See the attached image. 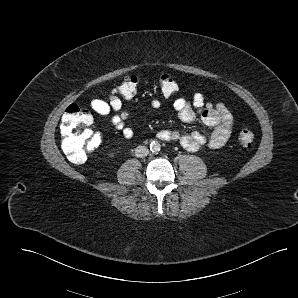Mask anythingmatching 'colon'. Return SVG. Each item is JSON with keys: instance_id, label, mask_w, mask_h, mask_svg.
I'll return each instance as SVG.
<instances>
[{"instance_id": "1", "label": "colon", "mask_w": 298, "mask_h": 298, "mask_svg": "<svg viewBox=\"0 0 298 298\" xmlns=\"http://www.w3.org/2000/svg\"><path fill=\"white\" fill-rule=\"evenodd\" d=\"M140 77L129 75L114 89L113 95L125 99L133 98L138 90ZM160 91L164 96L170 97L178 91L174 78L162 73L158 78ZM90 115L77 103L70 104L61 119V147L68 159L74 164H82L90 153L94 152L101 143V137L91 128ZM254 132L251 128L241 127L237 134L240 146L249 148L254 142Z\"/></svg>"}]
</instances>
